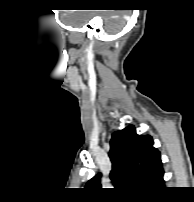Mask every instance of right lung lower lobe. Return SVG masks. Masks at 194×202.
Here are the masks:
<instances>
[{
    "instance_id": "obj_1",
    "label": "right lung lower lobe",
    "mask_w": 194,
    "mask_h": 202,
    "mask_svg": "<svg viewBox=\"0 0 194 202\" xmlns=\"http://www.w3.org/2000/svg\"><path fill=\"white\" fill-rule=\"evenodd\" d=\"M163 190H164V188H162L161 190L155 192V193L153 194V196H157V195L162 194Z\"/></svg>"
}]
</instances>
